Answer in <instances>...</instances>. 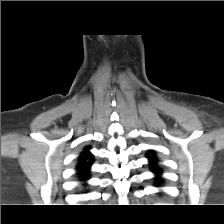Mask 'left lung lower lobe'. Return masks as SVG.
<instances>
[{"instance_id":"0a47b994","label":"left lung lower lobe","mask_w":224,"mask_h":224,"mask_svg":"<svg viewBox=\"0 0 224 224\" xmlns=\"http://www.w3.org/2000/svg\"><path fill=\"white\" fill-rule=\"evenodd\" d=\"M154 173L159 174L160 171L159 170H152ZM156 178H159L158 176Z\"/></svg>"}]
</instances>
